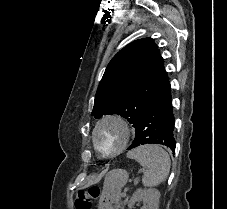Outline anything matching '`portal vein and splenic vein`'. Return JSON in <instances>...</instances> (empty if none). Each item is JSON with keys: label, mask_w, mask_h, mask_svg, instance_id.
Instances as JSON below:
<instances>
[{"label": "portal vein and splenic vein", "mask_w": 227, "mask_h": 209, "mask_svg": "<svg viewBox=\"0 0 227 209\" xmlns=\"http://www.w3.org/2000/svg\"><path fill=\"white\" fill-rule=\"evenodd\" d=\"M135 185H137L138 184V182L135 180L134 182H133ZM128 188V189H127ZM124 191V193H122L121 194V197L122 198H126L128 195L126 194L128 191H130L131 189H130V187L128 186Z\"/></svg>", "instance_id": "1"}]
</instances>
